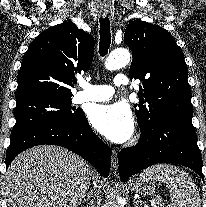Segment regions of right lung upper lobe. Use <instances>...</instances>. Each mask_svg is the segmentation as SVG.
I'll return each mask as SVG.
<instances>
[{"label": "right lung upper lobe", "mask_w": 206, "mask_h": 207, "mask_svg": "<svg viewBox=\"0 0 206 207\" xmlns=\"http://www.w3.org/2000/svg\"><path fill=\"white\" fill-rule=\"evenodd\" d=\"M93 56V37L73 22L43 31L24 54L16 100L36 94L72 96L75 74L87 71Z\"/></svg>", "instance_id": "cb5924a9"}]
</instances>
